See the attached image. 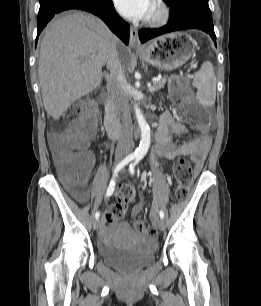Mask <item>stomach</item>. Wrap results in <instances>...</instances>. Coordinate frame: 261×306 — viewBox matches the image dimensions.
<instances>
[{
    "label": "stomach",
    "mask_w": 261,
    "mask_h": 306,
    "mask_svg": "<svg viewBox=\"0 0 261 306\" xmlns=\"http://www.w3.org/2000/svg\"><path fill=\"white\" fill-rule=\"evenodd\" d=\"M194 52L195 42L187 33L173 32L147 43L138 54L142 61L169 71L185 64Z\"/></svg>",
    "instance_id": "stomach-1"
}]
</instances>
